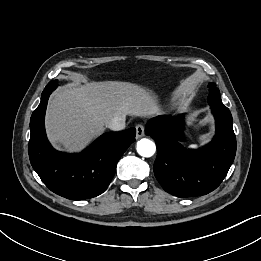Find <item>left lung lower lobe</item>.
<instances>
[{
    "label": "left lung lower lobe",
    "instance_id": "1",
    "mask_svg": "<svg viewBox=\"0 0 261 261\" xmlns=\"http://www.w3.org/2000/svg\"><path fill=\"white\" fill-rule=\"evenodd\" d=\"M216 134L199 150L184 148L183 115L171 119L159 116L145 127L156 141L157 158L153 169L163 189L177 197L201 196L215 190L223 181L236 154V138L231 113L213 110Z\"/></svg>",
    "mask_w": 261,
    "mask_h": 261
}]
</instances>
